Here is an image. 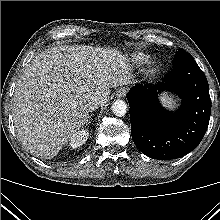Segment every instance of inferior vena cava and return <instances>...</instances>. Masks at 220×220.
Returning <instances> with one entry per match:
<instances>
[{
  "mask_svg": "<svg viewBox=\"0 0 220 220\" xmlns=\"http://www.w3.org/2000/svg\"><path fill=\"white\" fill-rule=\"evenodd\" d=\"M100 99L96 97H92L86 104V107L89 111L96 110L98 106H100Z\"/></svg>",
  "mask_w": 220,
  "mask_h": 220,
  "instance_id": "inferior-vena-cava-1",
  "label": "inferior vena cava"
}]
</instances>
